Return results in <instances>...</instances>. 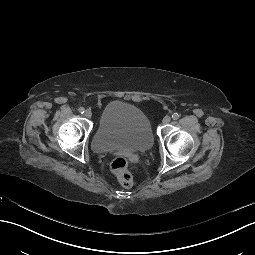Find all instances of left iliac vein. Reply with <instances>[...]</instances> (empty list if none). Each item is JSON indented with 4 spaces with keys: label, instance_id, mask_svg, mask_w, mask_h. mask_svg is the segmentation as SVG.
<instances>
[{
    "label": "left iliac vein",
    "instance_id": "4c4485c4",
    "mask_svg": "<svg viewBox=\"0 0 255 255\" xmlns=\"http://www.w3.org/2000/svg\"><path fill=\"white\" fill-rule=\"evenodd\" d=\"M170 121H171V117H170V116H165V117L163 118V123H164V124H168V123H170Z\"/></svg>",
    "mask_w": 255,
    "mask_h": 255
}]
</instances>
